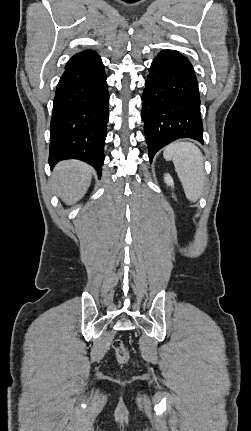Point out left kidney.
<instances>
[{
	"label": "left kidney",
	"mask_w": 251,
	"mask_h": 431,
	"mask_svg": "<svg viewBox=\"0 0 251 431\" xmlns=\"http://www.w3.org/2000/svg\"><path fill=\"white\" fill-rule=\"evenodd\" d=\"M164 181L168 186H171V187L174 186V181L170 174H165Z\"/></svg>",
	"instance_id": "1"
}]
</instances>
